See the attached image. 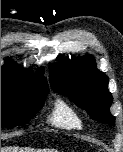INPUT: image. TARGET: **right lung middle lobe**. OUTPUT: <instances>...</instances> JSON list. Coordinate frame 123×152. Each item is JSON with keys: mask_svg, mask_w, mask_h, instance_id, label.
<instances>
[{"mask_svg": "<svg viewBox=\"0 0 123 152\" xmlns=\"http://www.w3.org/2000/svg\"><path fill=\"white\" fill-rule=\"evenodd\" d=\"M47 93L20 92L9 84H1V126H21L44 105Z\"/></svg>", "mask_w": 123, "mask_h": 152, "instance_id": "dd1d6c3e", "label": "right lung middle lobe"}]
</instances>
